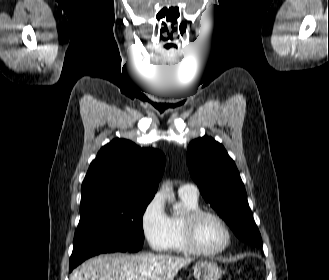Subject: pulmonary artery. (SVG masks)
Masks as SVG:
<instances>
[{"mask_svg":"<svg viewBox=\"0 0 329 280\" xmlns=\"http://www.w3.org/2000/svg\"><path fill=\"white\" fill-rule=\"evenodd\" d=\"M179 194L189 196L193 199H198L199 197V190L193 184H183L179 187Z\"/></svg>","mask_w":329,"mask_h":280,"instance_id":"pulmonary-artery-1","label":"pulmonary artery"}]
</instances>
